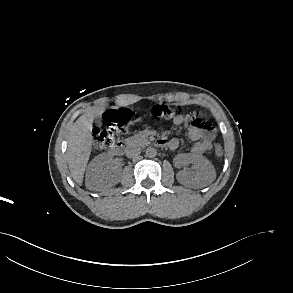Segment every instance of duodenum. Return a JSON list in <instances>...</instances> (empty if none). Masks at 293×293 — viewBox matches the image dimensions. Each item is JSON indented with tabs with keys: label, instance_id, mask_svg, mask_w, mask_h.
I'll return each mask as SVG.
<instances>
[{
	"label": "duodenum",
	"instance_id": "duodenum-1",
	"mask_svg": "<svg viewBox=\"0 0 293 293\" xmlns=\"http://www.w3.org/2000/svg\"><path fill=\"white\" fill-rule=\"evenodd\" d=\"M130 147L127 141L120 140L118 141L115 146L112 148V153L117 155L125 154L129 151Z\"/></svg>",
	"mask_w": 293,
	"mask_h": 293
}]
</instances>
